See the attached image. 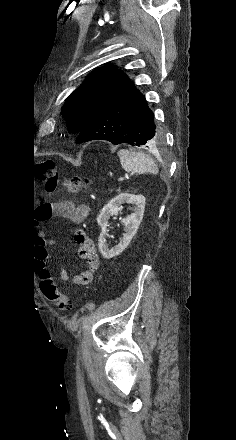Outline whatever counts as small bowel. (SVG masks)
<instances>
[{"label": "small bowel", "mask_w": 236, "mask_h": 440, "mask_svg": "<svg viewBox=\"0 0 236 440\" xmlns=\"http://www.w3.org/2000/svg\"><path fill=\"white\" fill-rule=\"evenodd\" d=\"M89 212L85 204H76L69 200H58L53 203L41 205L37 209V216L40 220H51L57 217H65L74 223L83 222ZM74 241L78 244V254L85 261V270L73 276L70 279L65 267L60 270V277L64 282H71L75 285H87L92 282L99 269V257L96 252L94 242L87 237L84 231L76 230L74 232ZM57 242L50 240V245L55 246ZM36 272L40 278V283L46 278L45 264L41 255H36Z\"/></svg>", "instance_id": "1"}]
</instances>
